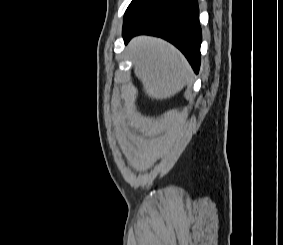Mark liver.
<instances>
[{
	"instance_id": "1",
	"label": "liver",
	"mask_w": 283,
	"mask_h": 245,
	"mask_svg": "<svg viewBox=\"0 0 283 245\" xmlns=\"http://www.w3.org/2000/svg\"><path fill=\"white\" fill-rule=\"evenodd\" d=\"M134 73L152 99H167L191 80L192 69L184 56L168 42L149 36L134 38L129 44Z\"/></svg>"
}]
</instances>
